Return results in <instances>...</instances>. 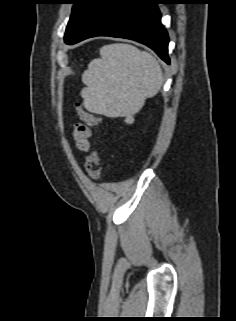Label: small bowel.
<instances>
[{
  "label": "small bowel",
  "instance_id": "obj_1",
  "mask_svg": "<svg viewBox=\"0 0 236 321\" xmlns=\"http://www.w3.org/2000/svg\"><path fill=\"white\" fill-rule=\"evenodd\" d=\"M72 135L76 141V145L80 150H86L89 146V138L91 136L90 129L83 123L72 125Z\"/></svg>",
  "mask_w": 236,
  "mask_h": 321
}]
</instances>
